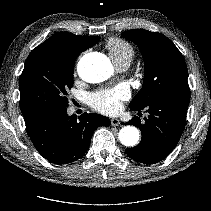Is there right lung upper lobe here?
Here are the masks:
<instances>
[{"instance_id":"obj_1","label":"right lung upper lobe","mask_w":211,"mask_h":211,"mask_svg":"<svg viewBox=\"0 0 211 211\" xmlns=\"http://www.w3.org/2000/svg\"><path fill=\"white\" fill-rule=\"evenodd\" d=\"M100 37H85L66 32L53 34L39 47L47 48L55 57L63 60H76L77 56L92 47ZM28 120V119H24Z\"/></svg>"}]
</instances>
